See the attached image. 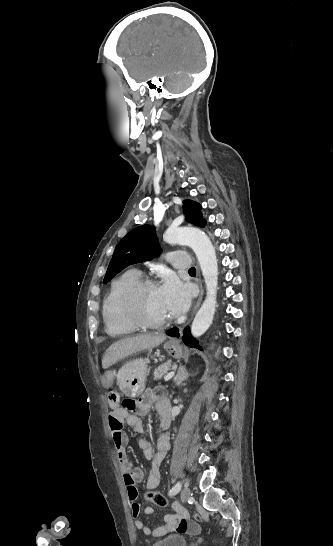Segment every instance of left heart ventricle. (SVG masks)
Returning a JSON list of instances; mask_svg holds the SVG:
<instances>
[{"mask_svg": "<svg viewBox=\"0 0 333 546\" xmlns=\"http://www.w3.org/2000/svg\"><path fill=\"white\" fill-rule=\"evenodd\" d=\"M140 305L142 313L149 320L163 321L169 318L157 287L149 288L143 293Z\"/></svg>", "mask_w": 333, "mask_h": 546, "instance_id": "left-heart-ventricle-1", "label": "left heart ventricle"}]
</instances>
